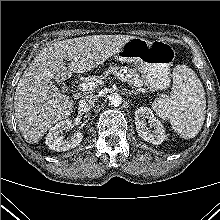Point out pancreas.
Masks as SVG:
<instances>
[{
	"label": "pancreas",
	"mask_w": 220,
	"mask_h": 220,
	"mask_svg": "<svg viewBox=\"0 0 220 220\" xmlns=\"http://www.w3.org/2000/svg\"><path fill=\"white\" fill-rule=\"evenodd\" d=\"M124 69L127 70L126 67H119V66H110L104 73L105 76L109 74H116L119 72H122ZM127 79L128 83L130 85L136 86V87H141L143 86V81L141 80L140 76L136 73L135 70L128 69L127 70ZM102 77V76H101ZM101 77H97L98 79H101ZM103 78V77H102Z\"/></svg>",
	"instance_id": "1"
}]
</instances>
